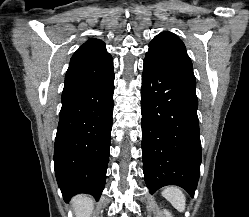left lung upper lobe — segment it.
<instances>
[{
    "label": "left lung upper lobe",
    "instance_id": "1",
    "mask_svg": "<svg viewBox=\"0 0 249 217\" xmlns=\"http://www.w3.org/2000/svg\"><path fill=\"white\" fill-rule=\"evenodd\" d=\"M144 63L195 80L184 43L171 32H161L150 42Z\"/></svg>",
    "mask_w": 249,
    "mask_h": 217
}]
</instances>
